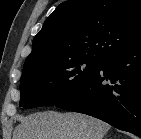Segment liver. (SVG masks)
Returning <instances> with one entry per match:
<instances>
[{
	"label": "liver",
	"mask_w": 141,
	"mask_h": 139,
	"mask_svg": "<svg viewBox=\"0 0 141 139\" xmlns=\"http://www.w3.org/2000/svg\"><path fill=\"white\" fill-rule=\"evenodd\" d=\"M110 125L80 113L37 112L20 118L12 139H103Z\"/></svg>",
	"instance_id": "6515ba94"
}]
</instances>
